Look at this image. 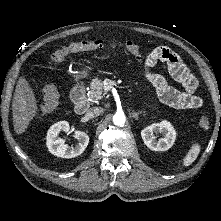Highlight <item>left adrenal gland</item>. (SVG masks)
Returning a JSON list of instances; mask_svg holds the SVG:
<instances>
[{
    "instance_id": "a2214340",
    "label": "left adrenal gland",
    "mask_w": 221,
    "mask_h": 221,
    "mask_svg": "<svg viewBox=\"0 0 221 221\" xmlns=\"http://www.w3.org/2000/svg\"><path fill=\"white\" fill-rule=\"evenodd\" d=\"M145 111H139V112H134V111H132V117L135 119V120H138V118H139V115L140 114H142V113H144Z\"/></svg>"
}]
</instances>
